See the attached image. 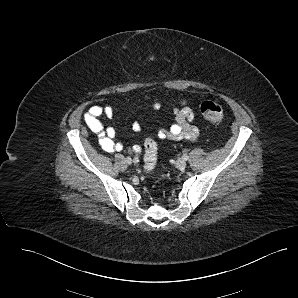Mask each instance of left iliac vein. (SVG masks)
Wrapping results in <instances>:
<instances>
[{"label":"left iliac vein","instance_id":"obj_1","mask_svg":"<svg viewBox=\"0 0 298 298\" xmlns=\"http://www.w3.org/2000/svg\"><path fill=\"white\" fill-rule=\"evenodd\" d=\"M187 164L184 160H178L176 162V167L181 169V170H184L186 168Z\"/></svg>","mask_w":298,"mask_h":298}]
</instances>
